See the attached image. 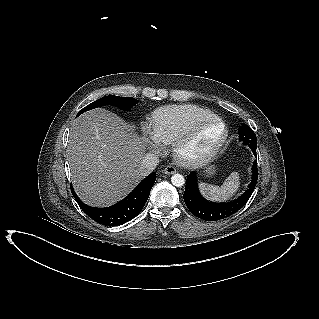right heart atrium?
<instances>
[{
	"instance_id": "1",
	"label": "right heart atrium",
	"mask_w": 319,
	"mask_h": 319,
	"mask_svg": "<svg viewBox=\"0 0 319 319\" xmlns=\"http://www.w3.org/2000/svg\"><path fill=\"white\" fill-rule=\"evenodd\" d=\"M141 136L148 147L157 152L161 151L163 143L155 137V135L148 127H143L141 129Z\"/></svg>"
}]
</instances>
